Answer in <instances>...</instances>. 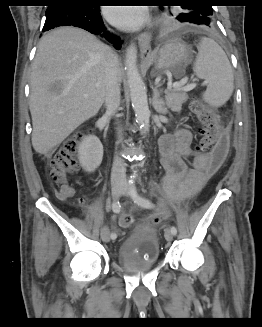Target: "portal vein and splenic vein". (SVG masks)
Here are the masks:
<instances>
[{
    "label": "portal vein and splenic vein",
    "mask_w": 262,
    "mask_h": 327,
    "mask_svg": "<svg viewBox=\"0 0 262 327\" xmlns=\"http://www.w3.org/2000/svg\"><path fill=\"white\" fill-rule=\"evenodd\" d=\"M187 82H188V78L184 77L179 82H175L172 85H170L168 89L173 88L175 90L187 92L193 90L196 87L195 83L187 84Z\"/></svg>",
    "instance_id": "portal-vein-and-splenic-vein-1"
}]
</instances>
